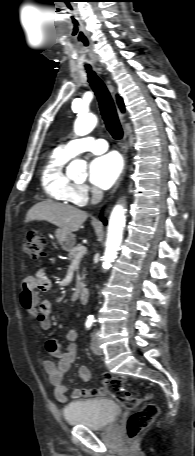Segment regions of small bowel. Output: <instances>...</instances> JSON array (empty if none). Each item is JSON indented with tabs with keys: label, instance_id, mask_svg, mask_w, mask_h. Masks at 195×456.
Masks as SVG:
<instances>
[{
	"label": "small bowel",
	"instance_id": "small-bowel-1",
	"mask_svg": "<svg viewBox=\"0 0 195 456\" xmlns=\"http://www.w3.org/2000/svg\"><path fill=\"white\" fill-rule=\"evenodd\" d=\"M51 287V280L44 269H40L35 275L25 277L21 282L20 303L25 311L33 317L42 330L51 327L50 313L51 303L48 300H40L37 292H45ZM77 331L69 329L65 333V343L58 339H50L46 342V353L56 359H46L43 362L45 372L48 374L54 387L56 398L60 402L67 401L68 388L64 382L65 375L70 370L77 355L75 341ZM78 379L82 383L91 380V372L88 367L82 366L78 369ZM105 390L102 388L83 389L75 388L71 392L73 399L103 396Z\"/></svg>",
	"mask_w": 195,
	"mask_h": 456
}]
</instances>
